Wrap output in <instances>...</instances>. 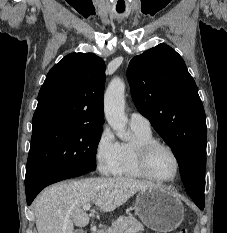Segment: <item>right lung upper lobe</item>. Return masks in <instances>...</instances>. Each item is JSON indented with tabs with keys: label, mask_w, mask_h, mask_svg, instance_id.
Wrapping results in <instances>:
<instances>
[{
	"label": "right lung upper lobe",
	"mask_w": 227,
	"mask_h": 233,
	"mask_svg": "<svg viewBox=\"0 0 227 233\" xmlns=\"http://www.w3.org/2000/svg\"><path fill=\"white\" fill-rule=\"evenodd\" d=\"M104 61L93 53L65 56L47 74L38 94L32 133L58 126L104 122Z\"/></svg>",
	"instance_id": "cb5924a9"
}]
</instances>
